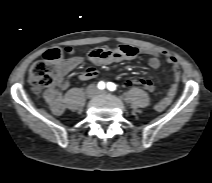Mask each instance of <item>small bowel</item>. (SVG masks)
<instances>
[{"mask_svg":"<svg viewBox=\"0 0 212 183\" xmlns=\"http://www.w3.org/2000/svg\"><path fill=\"white\" fill-rule=\"evenodd\" d=\"M150 56L148 64L151 68H159L161 66V56H165L167 62L171 65L173 70V83L170 85L165 96L160 99L155 105L154 109L158 112L166 109L172 102L178 89V82L180 79V69L176 58L165 51H162L154 47L136 48L131 45H120L116 48L109 47H98L94 48L89 53V60L95 65L110 64L114 62H120L124 60H131L136 58L138 55ZM81 63V58L72 57L61 60L55 69L54 82L60 89H66L69 86V82L65 76L71 70L76 68ZM97 76V70L94 67H88L83 70L79 78L81 80H90ZM150 80V79H149ZM151 81V80H150ZM152 82V81H151ZM149 91L155 89L154 83ZM45 101L49 109L54 114H61L65 110V103L63 100L62 93L55 87H51L44 93Z\"/></svg>","mask_w":212,"mask_h":183,"instance_id":"small-bowel-1","label":"small bowel"}]
</instances>
